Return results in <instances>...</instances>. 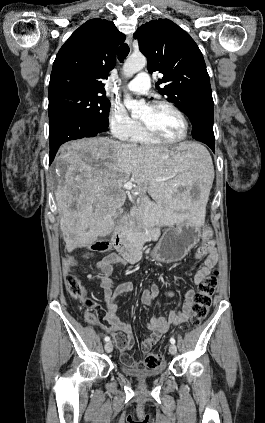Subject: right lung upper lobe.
Returning <instances> with one entry per match:
<instances>
[{
  "label": "right lung upper lobe",
  "mask_w": 265,
  "mask_h": 423,
  "mask_svg": "<svg viewBox=\"0 0 265 423\" xmlns=\"http://www.w3.org/2000/svg\"><path fill=\"white\" fill-rule=\"evenodd\" d=\"M125 35L113 22L91 19L81 25L59 50L49 82V97L80 91L105 94L103 79L116 64Z\"/></svg>",
  "instance_id": "1"
}]
</instances>
